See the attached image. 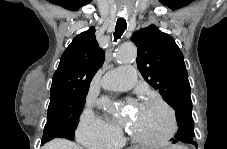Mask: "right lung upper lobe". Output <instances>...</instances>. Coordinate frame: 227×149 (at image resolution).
Instances as JSON below:
<instances>
[{
  "instance_id": "right-lung-upper-lobe-1",
  "label": "right lung upper lobe",
  "mask_w": 227,
  "mask_h": 149,
  "mask_svg": "<svg viewBox=\"0 0 227 149\" xmlns=\"http://www.w3.org/2000/svg\"><path fill=\"white\" fill-rule=\"evenodd\" d=\"M104 51L96 41L95 28L77 35L61 56L53 75L50 94H85L102 66Z\"/></svg>"
}]
</instances>
